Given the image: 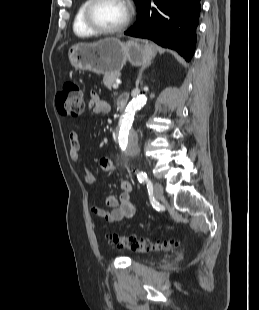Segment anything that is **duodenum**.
<instances>
[{
    "label": "duodenum",
    "mask_w": 259,
    "mask_h": 310,
    "mask_svg": "<svg viewBox=\"0 0 259 310\" xmlns=\"http://www.w3.org/2000/svg\"><path fill=\"white\" fill-rule=\"evenodd\" d=\"M129 102V96L123 95L118 100V107L120 110H123Z\"/></svg>",
    "instance_id": "1"
}]
</instances>
